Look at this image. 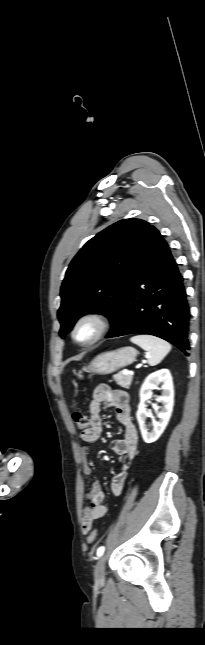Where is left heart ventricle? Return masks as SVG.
Here are the masks:
<instances>
[{
    "instance_id": "left-heart-ventricle-1",
    "label": "left heart ventricle",
    "mask_w": 205,
    "mask_h": 645,
    "mask_svg": "<svg viewBox=\"0 0 205 645\" xmlns=\"http://www.w3.org/2000/svg\"><path fill=\"white\" fill-rule=\"evenodd\" d=\"M94 332V327L90 324L83 325L78 331V337L82 340L89 338Z\"/></svg>"
}]
</instances>
